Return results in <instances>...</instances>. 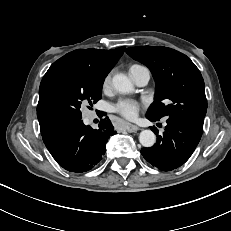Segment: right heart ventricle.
<instances>
[{"mask_svg": "<svg viewBox=\"0 0 231 231\" xmlns=\"http://www.w3.org/2000/svg\"><path fill=\"white\" fill-rule=\"evenodd\" d=\"M139 66H140V65H133V66H131V68H133V67H139ZM131 68H130V69H131Z\"/></svg>", "mask_w": 231, "mask_h": 231, "instance_id": "1", "label": "right heart ventricle"}]
</instances>
